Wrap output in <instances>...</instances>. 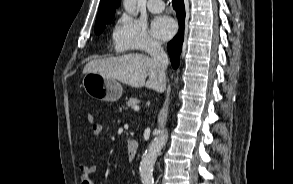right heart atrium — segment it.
<instances>
[{"label":"right heart atrium","instance_id":"1","mask_svg":"<svg viewBox=\"0 0 293 184\" xmlns=\"http://www.w3.org/2000/svg\"><path fill=\"white\" fill-rule=\"evenodd\" d=\"M113 44L119 53L161 51L160 44L149 34L146 25L129 15L120 16L113 31Z\"/></svg>","mask_w":293,"mask_h":184}]
</instances>
